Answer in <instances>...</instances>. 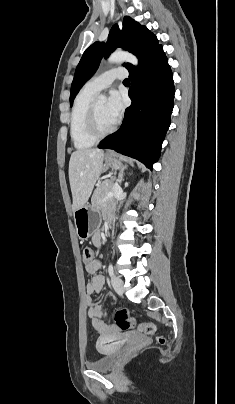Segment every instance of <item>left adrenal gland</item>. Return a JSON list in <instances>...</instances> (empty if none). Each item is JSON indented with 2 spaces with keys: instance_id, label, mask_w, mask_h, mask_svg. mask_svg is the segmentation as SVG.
<instances>
[{
  "instance_id": "obj_1",
  "label": "left adrenal gland",
  "mask_w": 235,
  "mask_h": 404,
  "mask_svg": "<svg viewBox=\"0 0 235 404\" xmlns=\"http://www.w3.org/2000/svg\"><path fill=\"white\" fill-rule=\"evenodd\" d=\"M124 172H120L118 175V182L121 183L123 181Z\"/></svg>"
}]
</instances>
